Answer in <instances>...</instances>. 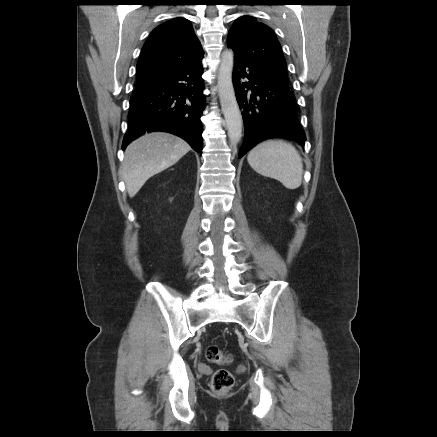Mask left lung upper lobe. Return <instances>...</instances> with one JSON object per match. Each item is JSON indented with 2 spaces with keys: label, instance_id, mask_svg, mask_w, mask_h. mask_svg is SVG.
<instances>
[{
  "label": "left lung upper lobe",
  "instance_id": "5c2ea615",
  "mask_svg": "<svg viewBox=\"0 0 437 437\" xmlns=\"http://www.w3.org/2000/svg\"><path fill=\"white\" fill-rule=\"evenodd\" d=\"M234 53L288 87L286 61L274 31L254 17L238 18L228 34Z\"/></svg>",
  "mask_w": 437,
  "mask_h": 437
}]
</instances>
